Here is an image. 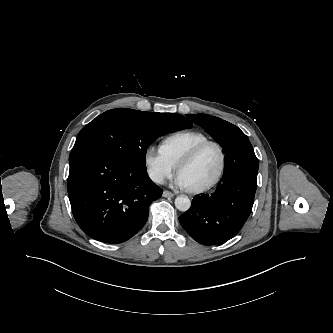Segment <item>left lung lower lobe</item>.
Returning <instances> with one entry per match:
<instances>
[{
    "instance_id": "0a47b994",
    "label": "left lung lower lobe",
    "mask_w": 333,
    "mask_h": 333,
    "mask_svg": "<svg viewBox=\"0 0 333 333\" xmlns=\"http://www.w3.org/2000/svg\"><path fill=\"white\" fill-rule=\"evenodd\" d=\"M258 159L249 140L226 152L215 192L196 195L180 224L197 242L214 245L233 238L248 219L257 188Z\"/></svg>"
}]
</instances>
